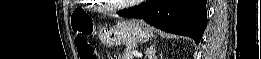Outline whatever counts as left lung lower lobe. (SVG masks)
I'll return each instance as SVG.
<instances>
[{
    "instance_id": "obj_1",
    "label": "left lung lower lobe",
    "mask_w": 261,
    "mask_h": 59,
    "mask_svg": "<svg viewBox=\"0 0 261 59\" xmlns=\"http://www.w3.org/2000/svg\"><path fill=\"white\" fill-rule=\"evenodd\" d=\"M207 0H146L119 11L123 17L140 18L163 31L191 37L199 43L207 26Z\"/></svg>"
}]
</instances>
